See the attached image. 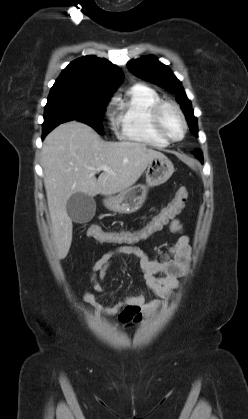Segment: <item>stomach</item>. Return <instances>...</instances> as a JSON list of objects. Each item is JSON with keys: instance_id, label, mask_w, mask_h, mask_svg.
<instances>
[{"instance_id": "0dacf381", "label": "stomach", "mask_w": 248, "mask_h": 419, "mask_svg": "<svg viewBox=\"0 0 248 419\" xmlns=\"http://www.w3.org/2000/svg\"><path fill=\"white\" fill-rule=\"evenodd\" d=\"M174 166L167 157L153 158L146 170V185L132 186L116 196L104 201L105 206L114 212L130 214L139 210L146 200L149 187L165 183L173 174Z\"/></svg>"}]
</instances>
